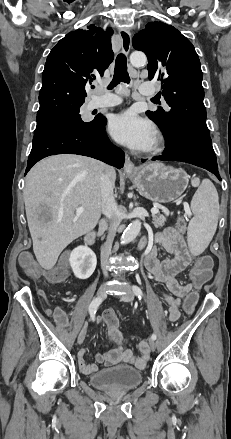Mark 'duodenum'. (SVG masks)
<instances>
[{
  "label": "duodenum",
  "mask_w": 231,
  "mask_h": 439,
  "mask_svg": "<svg viewBox=\"0 0 231 439\" xmlns=\"http://www.w3.org/2000/svg\"><path fill=\"white\" fill-rule=\"evenodd\" d=\"M95 237L96 234L94 231H89L85 234L84 236V242L88 245V246H93L95 243ZM144 246V243L142 242L140 244V248H142Z\"/></svg>",
  "instance_id": "obj_1"
}]
</instances>
